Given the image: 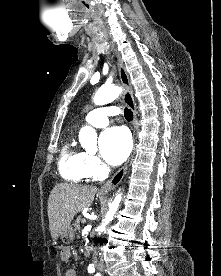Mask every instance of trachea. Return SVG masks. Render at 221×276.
I'll use <instances>...</instances> for the list:
<instances>
[{
	"mask_svg": "<svg viewBox=\"0 0 221 276\" xmlns=\"http://www.w3.org/2000/svg\"><path fill=\"white\" fill-rule=\"evenodd\" d=\"M124 117L127 121H131L133 119V113L130 109L125 108L124 109Z\"/></svg>",
	"mask_w": 221,
	"mask_h": 276,
	"instance_id": "3493384b",
	"label": "trachea"
}]
</instances>
